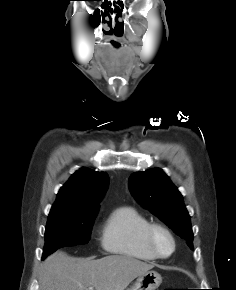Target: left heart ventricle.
<instances>
[{
    "instance_id": "left-heart-ventricle-1",
    "label": "left heart ventricle",
    "mask_w": 236,
    "mask_h": 290,
    "mask_svg": "<svg viewBox=\"0 0 236 290\" xmlns=\"http://www.w3.org/2000/svg\"><path fill=\"white\" fill-rule=\"evenodd\" d=\"M157 245L160 251L164 254H167L171 250V242L170 240L163 234L158 235L157 237Z\"/></svg>"
}]
</instances>
